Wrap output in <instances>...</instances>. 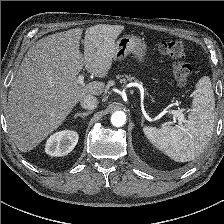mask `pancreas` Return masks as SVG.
<instances>
[{"label": "pancreas", "mask_w": 224, "mask_h": 224, "mask_svg": "<svg viewBox=\"0 0 224 224\" xmlns=\"http://www.w3.org/2000/svg\"><path fill=\"white\" fill-rule=\"evenodd\" d=\"M124 76H125L126 80H128V81L136 80L135 77H131V76H128V75H124Z\"/></svg>", "instance_id": "pancreas-1"}]
</instances>
